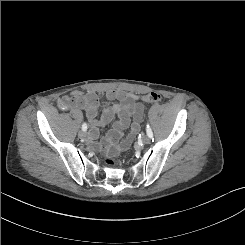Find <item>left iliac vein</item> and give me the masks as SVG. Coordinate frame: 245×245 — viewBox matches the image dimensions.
<instances>
[{"label":"left iliac vein","mask_w":245,"mask_h":245,"mask_svg":"<svg viewBox=\"0 0 245 245\" xmlns=\"http://www.w3.org/2000/svg\"><path fill=\"white\" fill-rule=\"evenodd\" d=\"M142 142L144 144H149L151 142V138L149 136L145 135L142 137Z\"/></svg>","instance_id":"4c4485c4"}]
</instances>
